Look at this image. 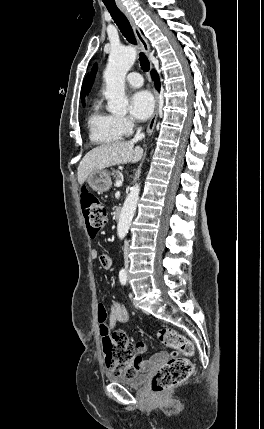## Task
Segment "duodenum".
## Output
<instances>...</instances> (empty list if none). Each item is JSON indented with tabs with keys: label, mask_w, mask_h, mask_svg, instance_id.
Masks as SVG:
<instances>
[{
	"label": "duodenum",
	"mask_w": 264,
	"mask_h": 429,
	"mask_svg": "<svg viewBox=\"0 0 264 429\" xmlns=\"http://www.w3.org/2000/svg\"><path fill=\"white\" fill-rule=\"evenodd\" d=\"M115 217L116 219H119L121 217V210L119 208L115 211Z\"/></svg>",
	"instance_id": "1"
}]
</instances>
